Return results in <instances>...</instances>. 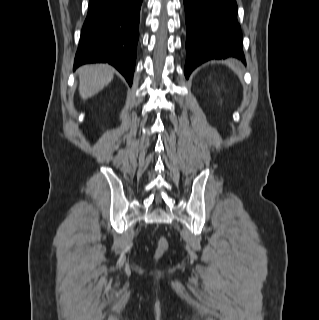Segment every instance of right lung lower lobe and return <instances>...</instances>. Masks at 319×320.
<instances>
[{
	"label": "right lung lower lobe",
	"instance_id": "98d812e1",
	"mask_svg": "<svg viewBox=\"0 0 319 320\" xmlns=\"http://www.w3.org/2000/svg\"><path fill=\"white\" fill-rule=\"evenodd\" d=\"M142 1L89 0L74 69L86 63H109L131 85Z\"/></svg>",
	"mask_w": 319,
	"mask_h": 320
}]
</instances>
